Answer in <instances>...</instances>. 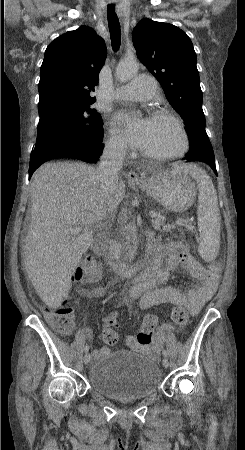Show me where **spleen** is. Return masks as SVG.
<instances>
[{"instance_id": "3e777b00", "label": "spleen", "mask_w": 245, "mask_h": 450, "mask_svg": "<svg viewBox=\"0 0 245 450\" xmlns=\"http://www.w3.org/2000/svg\"><path fill=\"white\" fill-rule=\"evenodd\" d=\"M183 171L191 175L197 182L198 195V229L200 256L211 261L215 259L220 247L221 216L218 208L217 193L211 178L206 171L196 165H185Z\"/></svg>"}]
</instances>
